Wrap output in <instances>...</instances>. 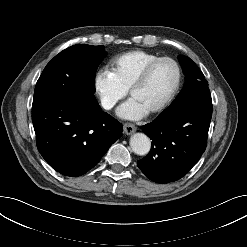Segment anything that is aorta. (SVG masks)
<instances>
[{
  "label": "aorta",
  "instance_id": "aorta-1",
  "mask_svg": "<svg viewBox=\"0 0 247 247\" xmlns=\"http://www.w3.org/2000/svg\"><path fill=\"white\" fill-rule=\"evenodd\" d=\"M130 147L137 155H146L151 148L150 139L143 133H135L130 138Z\"/></svg>",
  "mask_w": 247,
  "mask_h": 247
}]
</instances>
